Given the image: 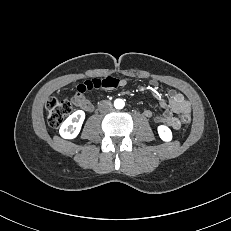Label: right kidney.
Instances as JSON below:
<instances>
[{
	"label": "right kidney",
	"instance_id": "right-kidney-1",
	"mask_svg": "<svg viewBox=\"0 0 231 231\" xmlns=\"http://www.w3.org/2000/svg\"><path fill=\"white\" fill-rule=\"evenodd\" d=\"M85 119V112L82 110L75 111L61 125L60 135L65 139L75 138L81 129Z\"/></svg>",
	"mask_w": 231,
	"mask_h": 231
}]
</instances>
